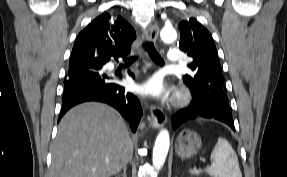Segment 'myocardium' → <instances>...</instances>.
Masks as SVG:
<instances>
[{
    "label": "myocardium",
    "mask_w": 287,
    "mask_h": 177,
    "mask_svg": "<svg viewBox=\"0 0 287 177\" xmlns=\"http://www.w3.org/2000/svg\"><path fill=\"white\" fill-rule=\"evenodd\" d=\"M190 101V94L187 91H179L175 96V104L179 107L185 106Z\"/></svg>",
    "instance_id": "myocardium-1"
}]
</instances>
